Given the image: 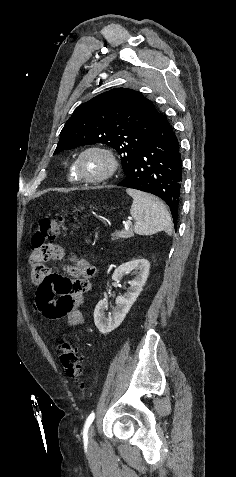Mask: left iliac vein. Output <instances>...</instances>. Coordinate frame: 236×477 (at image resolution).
<instances>
[{
  "label": "left iliac vein",
  "instance_id": "4c4485c4",
  "mask_svg": "<svg viewBox=\"0 0 236 477\" xmlns=\"http://www.w3.org/2000/svg\"><path fill=\"white\" fill-rule=\"evenodd\" d=\"M94 424L96 425L97 423L95 422ZM94 436H95V430H94V427L91 426L90 430H89V442L88 443H89V447L92 448V449L97 447V443L94 439Z\"/></svg>",
  "mask_w": 236,
  "mask_h": 477
}]
</instances>
